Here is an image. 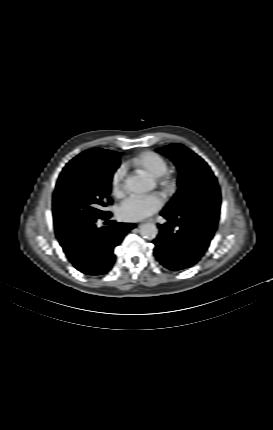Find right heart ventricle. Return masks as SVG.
<instances>
[{
  "mask_svg": "<svg viewBox=\"0 0 273 430\" xmlns=\"http://www.w3.org/2000/svg\"><path fill=\"white\" fill-rule=\"evenodd\" d=\"M129 165L146 172L152 177H158L168 169L166 159L160 154L146 150L129 160Z\"/></svg>",
  "mask_w": 273,
  "mask_h": 430,
  "instance_id": "obj_1",
  "label": "right heart ventricle"
}]
</instances>
